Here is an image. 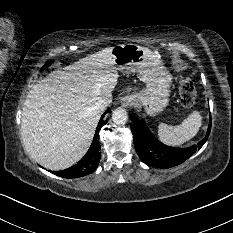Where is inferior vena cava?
I'll return each mask as SVG.
<instances>
[{
  "label": "inferior vena cava",
  "mask_w": 233,
  "mask_h": 233,
  "mask_svg": "<svg viewBox=\"0 0 233 233\" xmlns=\"http://www.w3.org/2000/svg\"><path fill=\"white\" fill-rule=\"evenodd\" d=\"M109 104H110L109 101L105 99H101L95 103V105L93 106V109L97 112H102L109 106Z\"/></svg>",
  "instance_id": "obj_1"
}]
</instances>
